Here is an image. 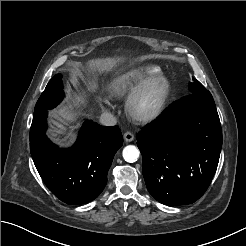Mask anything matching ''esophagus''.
Here are the masks:
<instances>
[{
  "mask_svg": "<svg viewBox=\"0 0 246 246\" xmlns=\"http://www.w3.org/2000/svg\"><path fill=\"white\" fill-rule=\"evenodd\" d=\"M123 137L126 142H132L135 138L134 134L131 132H126Z\"/></svg>",
  "mask_w": 246,
  "mask_h": 246,
  "instance_id": "34e87169",
  "label": "esophagus"
}]
</instances>
